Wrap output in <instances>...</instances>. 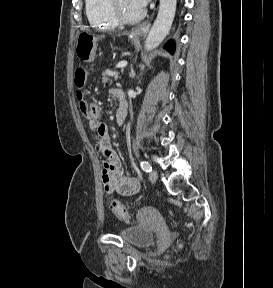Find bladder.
Here are the masks:
<instances>
[{
    "instance_id": "obj_1",
    "label": "bladder",
    "mask_w": 273,
    "mask_h": 288,
    "mask_svg": "<svg viewBox=\"0 0 273 288\" xmlns=\"http://www.w3.org/2000/svg\"><path fill=\"white\" fill-rule=\"evenodd\" d=\"M120 236L126 243L135 247H147L155 241L154 233L139 225L122 229Z\"/></svg>"
}]
</instances>
